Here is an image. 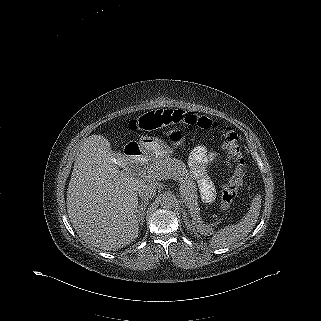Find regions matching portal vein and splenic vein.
Returning a JSON list of instances; mask_svg holds the SVG:
<instances>
[{"label": "portal vein and splenic vein", "mask_w": 321, "mask_h": 321, "mask_svg": "<svg viewBox=\"0 0 321 321\" xmlns=\"http://www.w3.org/2000/svg\"><path fill=\"white\" fill-rule=\"evenodd\" d=\"M137 175L138 176H145L147 178H154L157 180H162V179L166 178V176L161 174V172H159L157 170H152V169H148L147 171H141Z\"/></svg>", "instance_id": "1"}]
</instances>
